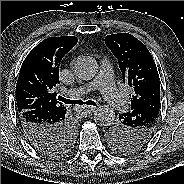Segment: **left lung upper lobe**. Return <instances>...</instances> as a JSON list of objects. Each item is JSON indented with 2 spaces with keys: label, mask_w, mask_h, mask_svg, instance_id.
Here are the masks:
<instances>
[{
  "label": "left lung upper lobe",
  "mask_w": 184,
  "mask_h": 184,
  "mask_svg": "<svg viewBox=\"0 0 184 184\" xmlns=\"http://www.w3.org/2000/svg\"><path fill=\"white\" fill-rule=\"evenodd\" d=\"M105 43L118 59L124 83L132 88L131 110L119 115L107 136L116 151L135 152L147 144L156 128L160 105L142 117L137 115L146 103L160 99L158 71L149 50L131 34L107 35Z\"/></svg>",
  "instance_id": "obj_1"
}]
</instances>
